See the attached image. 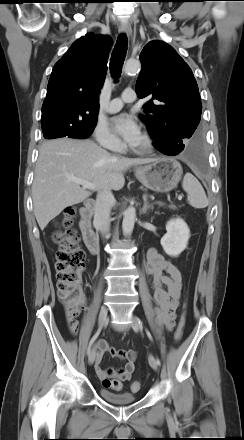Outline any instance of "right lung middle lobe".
Returning <instances> with one entry per match:
<instances>
[{"instance_id":"obj_1","label":"right lung middle lobe","mask_w":244,"mask_h":440,"mask_svg":"<svg viewBox=\"0 0 244 440\" xmlns=\"http://www.w3.org/2000/svg\"><path fill=\"white\" fill-rule=\"evenodd\" d=\"M41 125L44 138L46 139L59 137L85 139L92 134L96 126V121L82 125H75L72 122L65 120H49L41 121Z\"/></svg>"}]
</instances>
